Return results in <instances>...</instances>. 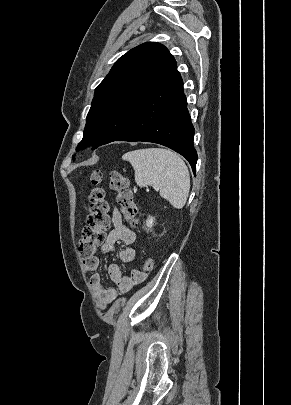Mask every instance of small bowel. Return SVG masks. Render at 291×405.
I'll return each mask as SVG.
<instances>
[{
	"instance_id": "small-bowel-1",
	"label": "small bowel",
	"mask_w": 291,
	"mask_h": 405,
	"mask_svg": "<svg viewBox=\"0 0 291 405\" xmlns=\"http://www.w3.org/2000/svg\"><path fill=\"white\" fill-rule=\"evenodd\" d=\"M135 239V233L123 224L120 211L114 209L112 212V228L108 232L105 242L101 245L100 251L104 254L111 253L114 245L121 242L128 247H125L120 251V260L123 263H130L136 256L135 250L132 247H129L135 242ZM99 264L100 262L97 257L83 260L85 270L92 273L90 277V286L94 292L96 300L101 308H105L116 298L117 292L113 287L103 286L101 275L97 272ZM108 274L111 281L121 292L130 290L133 285L143 278L137 269H133L129 275H124L118 264H111L108 267Z\"/></svg>"
}]
</instances>
